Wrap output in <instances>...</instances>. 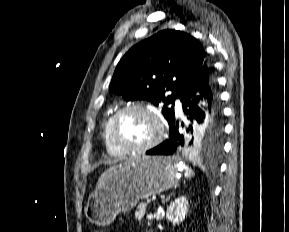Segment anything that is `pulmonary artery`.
I'll return each instance as SVG.
<instances>
[{
  "instance_id": "obj_1",
  "label": "pulmonary artery",
  "mask_w": 289,
  "mask_h": 232,
  "mask_svg": "<svg viewBox=\"0 0 289 232\" xmlns=\"http://www.w3.org/2000/svg\"><path fill=\"white\" fill-rule=\"evenodd\" d=\"M175 106H176L177 112L181 113V111H182V104H181L180 100H178V99L176 100Z\"/></svg>"
}]
</instances>
